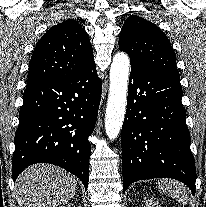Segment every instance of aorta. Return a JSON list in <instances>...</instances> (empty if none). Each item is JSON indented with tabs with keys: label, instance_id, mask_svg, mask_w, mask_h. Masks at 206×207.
I'll return each mask as SVG.
<instances>
[{
	"label": "aorta",
	"instance_id": "762f6f07",
	"mask_svg": "<svg viewBox=\"0 0 206 207\" xmlns=\"http://www.w3.org/2000/svg\"><path fill=\"white\" fill-rule=\"evenodd\" d=\"M130 60L126 53H117L110 68V88L105 114V130L114 140L123 125L126 112Z\"/></svg>",
	"mask_w": 206,
	"mask_h": 207
}]
</instances>
